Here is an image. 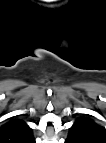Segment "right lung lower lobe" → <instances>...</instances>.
<instances>
[{
    "label": "right lung lower lobe",
    "instance_id": "right-lung-lower-lobe-1",
    "mask_svg": "<svg viewBox=\"0 0 106 143\" xmlns=\"http://www.w3.org/2000/svg\"><path fill=\"white\" fill-rule=\"evenodd\" d=\"M28 143H35V139L32 138L31 141H29Z\"/></svg>",
    "mask_w": 106,
    "mask_h": 143
}]
</instances>
